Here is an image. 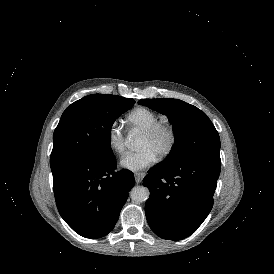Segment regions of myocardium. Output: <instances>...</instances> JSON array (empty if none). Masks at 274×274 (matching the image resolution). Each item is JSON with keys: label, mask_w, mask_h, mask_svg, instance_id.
<instances>
[{"label": "myocardium", "mask_w": 274, "mask_h": 274, "mask_svg": "<svg viewBox=\"0 0 274 274\" xmlns=\"http://www.w3.org/2000/svg\"><path fill=\"white\" fill-rule=\"evenodd\" d=\"M160 132H165L168 136V144L164 150L158 155L159 159H164L168 157L174 150L176 144V131L175 128L168 122H157L147 130L142 132V135L145 137H155Z\"/></svg>", "instance_id": "myocardium-1"}]
</instances>
